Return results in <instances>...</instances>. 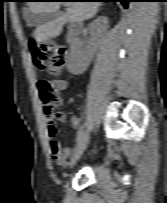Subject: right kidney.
Masks as SVG:
<instances>
[{
	"instance_id": "obj_1",
	"label": "right kidney",
	"mask_w": 167,
	"mask_h": 203,
	"mask_svg": "<svg viewBox=\"0 0 167 203\" xmlns=\"http://www.w3.org/2000/svg\"><path fill=\"white\" fill-rule=\"evenodd\" d=\"M108 28V18L101 16L91 24V30L97 35L104 33ZM92 59V50L82 49V42L77 39L70 48V55L68 59L67 68L71 74H82Z\"/></svg>"
}]
</instances>
